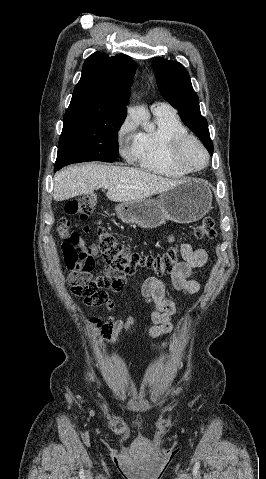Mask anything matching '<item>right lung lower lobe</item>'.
<instances>
[{"label":"right lung lower lobe","instance_id":"98d812e1","mask_svg":"<svg viewBox=\"0 0 266 479\" xmlns=\"http://www.w3.org/2000/svg\"><path fill=\"white\" fill-rule=\"evenodd\" d=\"M62 167H63V165H55L54 171H57V170L61 169Z\"/></svg>","mask_w":266,"mask_h":479}]
</instances>
